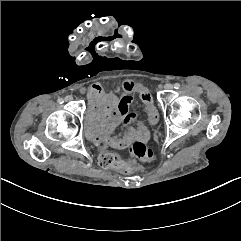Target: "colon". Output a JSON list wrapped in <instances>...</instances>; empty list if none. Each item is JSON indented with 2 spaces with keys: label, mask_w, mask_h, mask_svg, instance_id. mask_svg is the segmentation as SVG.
Listing matches in <instances>:
<instances>
[{
  "label": "colon",
  "mask_w": 241,
  "mask_h": 241,
  "mask_svg": "<svg viewBox=\"0 0 241 241\" xmlns=\"http://www.w3.org/2000/svg\"><path fill=\"white\" fill-rule=\"evenodd\" d=\"M129 152L138 158L152 161L155 158V154L151 148L143 143L133 144ZM98 164L104 169H131L134 165L131 160L123 159L114 153H101L97 158Z\"/></svg>",
  "instance_id": "1"
}]
</instances>
